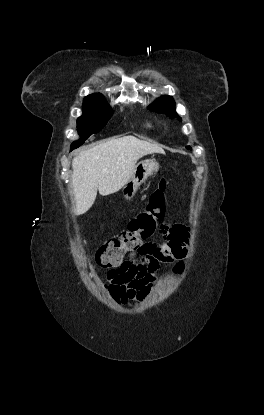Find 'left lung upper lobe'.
I'll list each match as a JSON object with an SVG mask.
<instances>
[{
  "instance_id": "obj_1",
  "label": "left lung upper lobe",
  "mask_w": 264,
  "mask_h": 415,
  "mask_svg": "<svg viewBox=\"0 0 264 415\" xmlns=\"http://www.w3.org/2000/svg\"><path fill=\"white\" fill-rule=\"evenodd\" d=\"M149 109L159 113H165L172 119L177 117L181 121V118L176 113L175 102L171 96L165 95L160 97L156 102L149 106ZM186 148L191 149L190 146H187Z\"/></svg>"
}]
</instances>
